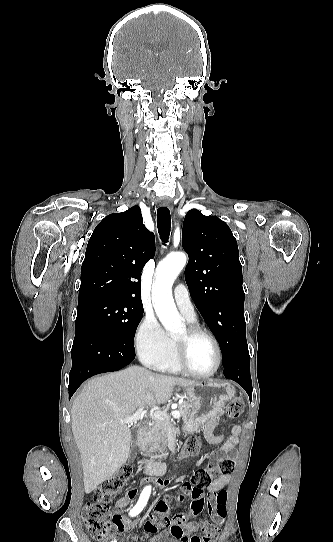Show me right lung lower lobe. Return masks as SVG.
Masks as SVG:
<instances>
[{
  "label": "right lung lower lobe",
  "mask_w": 333,
  "mask_h": 542,
  "mask_svg": "<svg viewBox=\"0 0 333 542\" xmlns=\"http://www.w3.org/2000/svg\"><path fill=\"white\" fill-rule=\"evenodd\" d=\"M72 369L69 374V399L88 378L120 370L135 358L124 345L95 321H76V334L71 350Z\"/></svg>",
  "instance_id": "right-lung-lower-lobe-1"
}]
</instances>
